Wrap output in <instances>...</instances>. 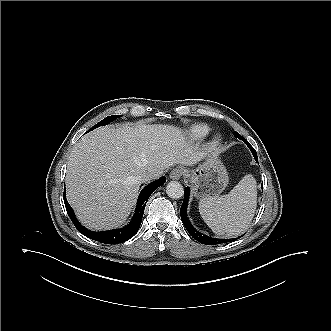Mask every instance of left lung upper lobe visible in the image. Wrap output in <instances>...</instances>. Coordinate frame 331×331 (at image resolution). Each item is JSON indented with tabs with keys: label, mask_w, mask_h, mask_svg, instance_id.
I'll use <instances>...</instances> for the list:
<instances>
[{
	"label": "left lung upper lobe",
	"mask_w": 331,
	"mask_h": 331,
	"mask_svg": "<svg viewBox=\"0 0 331 331\" xmlns=\"http://www.w3.org/2000/svg\"><path fill=\"white\" fill-rule=\"evenodd\" d=\"M236 133H237V132H236V131H234V136L236 135ZM256 154H257V153H256ZM253 155H254V154H253ZM254 158H255V160H256V161H258V158H257V156H255V155H254Z\"/></svg>",
	"instance_id": "left-lung-upper-lobe-1"
}]
</instances>
